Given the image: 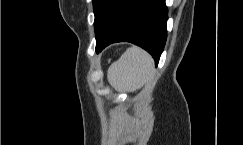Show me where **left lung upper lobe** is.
<instances>
[{
	"label": "left lung upper lobe",
	"instance_id": "1",
	"mask_svg": "<svg viewBox=\"0 0 243 145\" xmlns=\"http://www.w3.org/2000/svg\"><path fill=\"white\" fill-rule=\"evenodd\" d=\"M128 0H93L95 32L106 33Z\"/></svg>",
	"mask_w": 243,
	"mask_h": 145
}]
</instances>
